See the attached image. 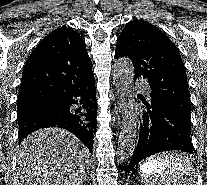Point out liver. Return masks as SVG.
Returning a JSON list of instances; mask_svg holds the SVG:
<instances>
[{
    "label": "liver",
    "mask_w": 207,
    "mask_h": 185,
    "mask_svg": "<svg viewBox=\"0 0 207 185\" xmlns=\"http://www.w3.org/2000/svg\"><path fill=\"white\" fill-rule=\"evenodd\" d=\"M16 157L12 185H82L91 167L89 149L59 127L28 135Z\"/></svg>",
    "instance_id": "obj_1"
}]
</instances>
